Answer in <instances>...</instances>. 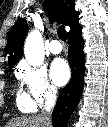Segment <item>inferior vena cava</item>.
Returning a JSON list of instances; mask_svg holds the SVG:
<instances>
[{"mask_svg": "<svg viewBox=\"0 0 108 127\" xmlns=\"http://www.w3.org/2000/svg\"><path fill=\"white\" fill-rule=\"evenodd\" d=\"M55 102H56V90L55 88H50L46 93L45 106L41 114L46 124H48L47 126L50 127H51V111L55 106Z\"/></svg>", "mask_w": 108, "mask_h": 127, "instance_id": "1", "label": "inferior vena cava"}]
</instances>
